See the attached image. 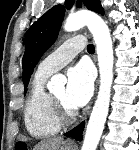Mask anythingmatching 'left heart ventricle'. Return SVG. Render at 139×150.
Masks as SVG:
<instances>
[{"instance_id": "1", "label": "left heart ventricle", "mask_w": 139, "mask_h": 150, "mask_svg": "<svg viewBox=\"0 0 139 150\" xmlns=\"http://www.w3.org/2000/svg\"><path fill=\"white\" fill-rule=\"evenodd\" d=\"M52 96L62 104L63 107H65L67 110H73V108L67 103L66 100V88L61 87L56 89L53 93Z\"/></svg>"}]
</instances>
